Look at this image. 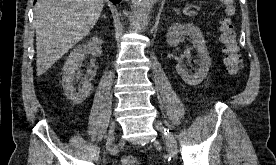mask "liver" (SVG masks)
<instances>
[{
    "instance_id": "6515ba94",
    "label": "liver",
    "mask_w": 276,
    "mask_h": 165,
    "mask_svg": "<svg viewBox=\"0 0 276 165\" xmlns=\"http://www.w3.org/2000/svg\"><path fill=\"white\" fill-rule=\"evenodd\" d=\"M103 6L104 0L37 1L34 8L37 76L89 34Z\"/></svg>"
}]
</instances>
